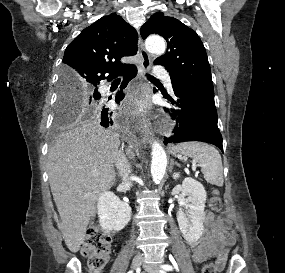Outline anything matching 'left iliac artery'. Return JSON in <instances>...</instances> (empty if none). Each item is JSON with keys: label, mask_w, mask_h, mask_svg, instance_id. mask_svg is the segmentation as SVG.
I'll use <instances>...</instances> for the list:
<instances>
[{"label": "left iliac artery", "mask_w": 285, "mask_h": 273, "mask_svg": "<svg viewBox=\"0 0 285 273\" xmlns=\"http://www.w3.org/2000/svg\"><path fill=\"white\" fill-rule=\"evenodd\" d=\"M161 268L163 269V270H161V273H165V271H172L173 270V267L169 264L162 265Z\"/></svg>", "instance_id": "1"}]
</instances>
